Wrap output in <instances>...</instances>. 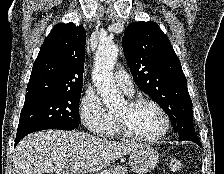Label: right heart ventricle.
Returning a JSON list of instances; mask_svg holds the SVG:
<instances>
[{
	"label": "right heart ventricle",
	"mask_w": 224,
	"mask_h": 174,
	"mask_svg": "<svg viewBox=\"0 0 224 174\" xmlns=\"http://www.w3.org/2000/svg\"><path fill=\"white\" fill-rule=\"evenodd\" d=\"M117 133H118V130H117L115 122H114L113 128L108 135H117Z\"/></svg>",
	"instance_id": "obj_1"
}]
</instances>
